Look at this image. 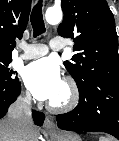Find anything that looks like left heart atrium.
<instances>
[{
	"instance_id": "obj_1",
	"label": "left heart atrium",
	"mask_w": 119,
	"mask_h": 141,
	"mask_svg": "<svg viewBox=\"0 0 119 141\" xmlns=\"http://www.w3.org/2000/svg\"><path fill=\"white\" fill-rule=\"evenodd\" d=\"M23 79L39 100L51 101L63 84L60 68L51 58H43L29 64L23 71Z\"/></svg>"
}]
</instances>
